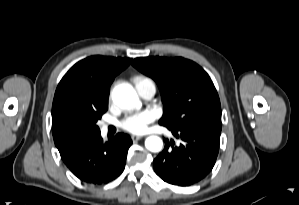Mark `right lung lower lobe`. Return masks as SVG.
Instances as JSON below:
<instances>
[{"label": "right lung lower lobe", "instance_id": "1", "mask_svg": "<svg viewBox=\"0 0 299 205\" xmlns=\"http://www.w3.org/2000/svg\"><path fill=\"white\" fill-rule=\"evenodd\" d=\"M131 138L119 133L110 142H103L100 133L86 137L60 151L61 158L80 180L106 184L123 172Z\"/></svg>", "mask_w": 299, "mask_h": 205}]
</instances>
